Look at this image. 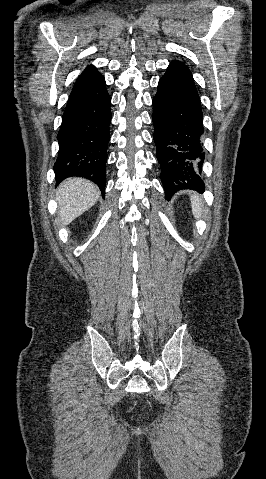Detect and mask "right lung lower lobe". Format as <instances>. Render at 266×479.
Returning a JSON list of instances; mask_svg holds the SVG:
<instances>
[{
  "mask_svg": "<svg viewBox=\"0 0 266 479\" xmlns=\"http://www.w3.org/2000/svg\"><path fill=\"white\" fill-rule=\"evenodd\" d=\"M111 98L98 73L78 78L66 105L57 135L56 183L71 176L85 177L105 193Z\"/></svg>",
  "mask_w": 266,
  "mask_h": 479,
  "instance_id": "obj_1",
  "label": "right lung lower lobe"
}]
</instances>
